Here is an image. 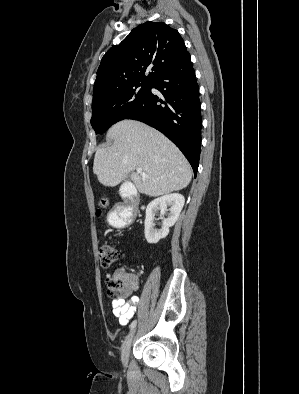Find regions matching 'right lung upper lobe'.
<instances>
[{
	"mask_svg": "<svg viewBox=\"0 0 299 394\" xmlns=\"http://www.w3.org/2000/svg\"><path fill=\"white\" fill-rule=\"evenodd\" d=\"M187 54L177 30L164 22L141 24L103 56L93 94L130 83H152ZM146 70L151 71L147 76Z\"/></svg>",
	"mask_w": 299,
	"mask_h": 394,
	"instance_id": "cb5924a9",
	"label": "right lung upper lobe"
}]
</instances>
